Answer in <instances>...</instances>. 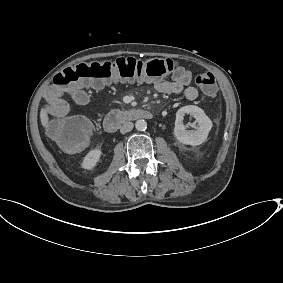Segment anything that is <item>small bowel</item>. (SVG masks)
Returning a JSON list of instances; mask_svg holds the SVG:
<instances>
[{
	"label": "small bowel",
	"instance_id": "1",
	"mask_svg": "<svg viewBox=\"0 0 283 283\" xmlns=\"http://www.w3.org/2000/svg\"><path fill=\"white\" fill-rule=\"evenodd\" d=\"M191 73L183 67H177L172 74L171 81L156 80L154 88L163 94H180L188 100H195L198 97V91L190 85ZM67 89L60 88L55 84L51 85L45 91V99L47 102V111L55 118L60 119L68 114L69 107L62 98Z\"/></svg>",
	"mask_w": 283,
	"mask_h": 283
}]
</instances>
